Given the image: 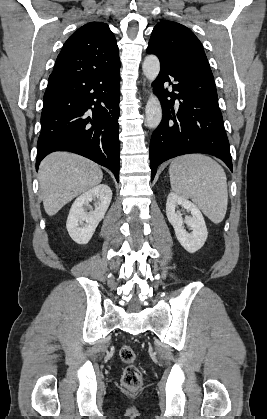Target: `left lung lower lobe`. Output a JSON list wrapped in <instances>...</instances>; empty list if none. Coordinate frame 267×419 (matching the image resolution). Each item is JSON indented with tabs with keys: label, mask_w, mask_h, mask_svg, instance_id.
Listing matches in <instances>:
<instances>
[{
	"label": "left lung lower lobe",
	"mask_w": 267,
	"mask_h": 419,
	"mask_svg": "<svg viewBox=\"0 0 267 419\" xmlns=\"http://www.w3.org/2000/svg\"><path fill=\"white\" fill-rule=\"evenodd\" d=\"M160 64L153 86L162 104L163 118L150 141L151 179L162 162L189 153L214 155L232 171L213 76L187 67ZM167 84L172 92L165 88Z\"/></svg>",
	"instance_id": "0a47b994"
}]
</instances>
